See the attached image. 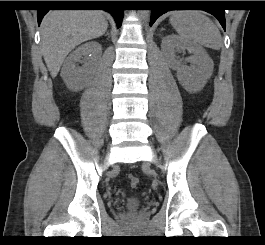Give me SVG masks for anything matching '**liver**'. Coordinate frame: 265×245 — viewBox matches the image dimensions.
Wrapping results in <instances>:
<instances>
[{
	"label": "liver",
	"instance_id": "liver-1",
	"mask_svg": "<svg viewBox=\"0 0 265 245\" xmlns=\"http://www.w3.org/2000/svg\"><path fill=\"white\" fill-rule=\"evenodd\" d=\"M108 27L99 10H53L41 23L42 54L55 78L66 56L79 44L102 36Z\"/></svg>",
	"mask_w": 265,
	"mask_h": 245
}]
</instances>
